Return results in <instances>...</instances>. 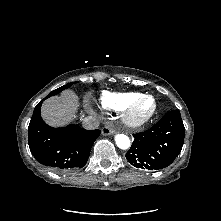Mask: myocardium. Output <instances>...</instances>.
<instances>
[{
	"mask_svg": "<svg viewBox=\"0 0 221 221\" xmlns=\"http://www.w3.org/2000/svg\"><path fill=\"white\" fill-rule=\"evenodd\" d=\"M151 99L153 101L152 110L144 117L136 118L133 115L135 108L144 100ZM158 109V104L156 99L152 95H141L140 97L134 99L128 103L123 109L121 114L122 122L125 126L131 129L141 128L146 125L156 114Z\"/></svg>",
	"mask_w": 221,
	"mask_h": 221,
	"instance_id": "myocardium-1",
	"label": "myocardium"
}]
</instances>
